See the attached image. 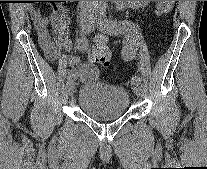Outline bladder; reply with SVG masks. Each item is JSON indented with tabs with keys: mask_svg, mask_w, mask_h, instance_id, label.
Wrapping results in <instances>:
<instances>
[{
	"mask_svg": "<svg viewBox=\"0 0 207 169\" xmlns=\"http://www.w3.org/2000/svg\"><path fill=\"white\" fill-rule=\"evenodd\" d=\"M77 103L79 109L89 118L110 121L126 114L130 97L122 86L94 80L81 86Z\"/></svg>",
	"mask_w": 207,
	"mask_h": 169,
	"instance_id": "bladder-1",
	"label": "bladder"
}]
</instances>
